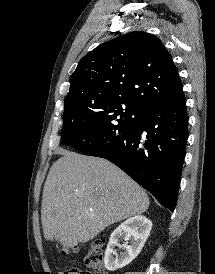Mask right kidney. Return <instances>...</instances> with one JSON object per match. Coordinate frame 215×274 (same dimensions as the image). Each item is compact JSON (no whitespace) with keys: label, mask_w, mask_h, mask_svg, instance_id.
Returning <instances> with one entry per match:
<instances>
[{"label":"right kidney","mask_w":215,"mask_h":274,"mask_svg":"<svg viewBox=\"0 0 215 274\" xmlns=\"http://www.w3.org/2000/svg\"><path fill=\"white\" fill-rule=\"evenodd\" d=\"M151 228L152 222L141 215L129 218L119 225L110 235L104 257L105 268L109 271H115L131 263L140 253ZM120 239L125 241L121 246L119 245ZM116 246H120L124 252L118 255Z\"/></svg>","instance_id":"obj_1"}]
</instances>
